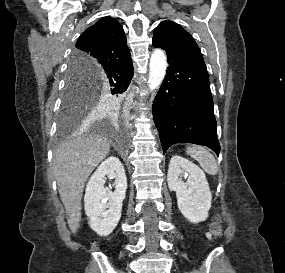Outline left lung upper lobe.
Returning a JSON list of instances; mask_svg holds the SVG:
<instances>
[{
    "mask_svg": "<svg viewBox=\"0 0 285 273\" xmlns=\"http://www.w3.org/2000/svg\"><path fill=\"white\" fill-rule=\"evenodd\" d=\"M154 37H164L175 43L184 45L203 58L201 51L192 36L177 23L172 21L161 22L154 31Z\"/></svg>",
    "mask_w": 285,
    "mask_h": 273,
    "instance_id": "1",
    "label": "left lung upper lobe"
}]
</instances>
